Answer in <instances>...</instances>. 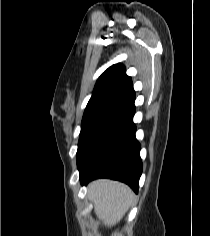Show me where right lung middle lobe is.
<instances>
[{"label":"right lung middle lobe","instance_id":"obj_1","mask_svg":"<svg viewBox=\"0 0 210 236\" xmlns=\"http://www.w3.org/2000/svg\"><path fill=\"white\" fill-rule=\"evenodd\" d=\"M131 91H119L112 96L89 102L82 119L78 149L91 132L111 113L118 109L131 95Z\"/></svg>","mask_w":210,"mask_h":236}]
</instances>
